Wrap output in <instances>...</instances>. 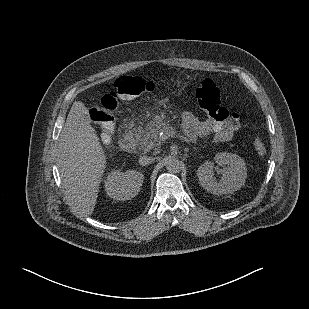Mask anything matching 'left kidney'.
<instances>
[{"instance_id": "obj_1", "label": "left kidney", "mask_w": 309, "mask_h": 309, "mask_svg": "<svg viewBox=\"0 0 309 309\" xmlns=\"http://www.w3.org/2000/svg\"><path fill=\"white\" fill-rule=\"evenodd\" d=\"M215 163L222 167L220 181L214 176V162L206 161L197 169L199 184L214 195L230 194L239 190L246 182L247 168L237 154L220 152L215 155Z\"/></svg>"}]
</instances>
